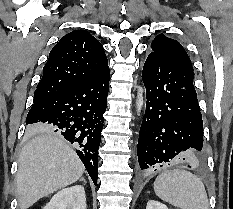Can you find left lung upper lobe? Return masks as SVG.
<instances>
[{
  "label": "left lung upper lobe",
  "mask_w": 233,
  "mask_h": 209,
  "mask_svg": "<svg viewBox=\"0 0 233 209\" xmlns=\"http://www.w3.org/2000/svg\"><path fill=\"white\" fill-rule=\"evenodd\" d=\"M153 54L166 58L168 60L181 63L193 70L189 56L182 45L163 34L157 35L151 44Z\"/></svg>",
  "instance_id": "5c2ea615"
}]
</instances>
